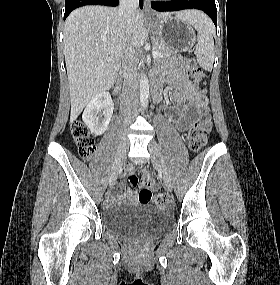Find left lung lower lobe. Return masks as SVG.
Instances as JSON below:
<instances>
[{
	"mask_svg": "<svg viewBox=\"0 0 280 285\" xmlns=\"http://www.w3.org/2000/svg\"><path fill=\"white\" fill-rule=\"evenodd\" d=\"M151 8L156 11H178L183 9H199L204 11L217 25V9L215 0H172L169 2H152Z\"/></svg>",
	"mask_w": 280,
	"mask_h": 285,
	"instance_id": "1",
	"label": "left lung lower lobe"
}]
</instances>
